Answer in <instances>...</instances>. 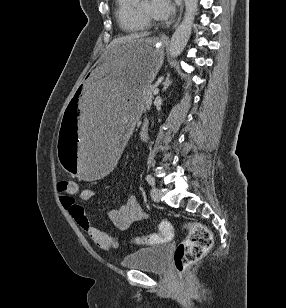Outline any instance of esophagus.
Returning <instances> with one entry per match:
<instances>
[{"instance_id":"34e87169","label":"esophagus","mask_w":286,"mask_h":308,"mask_svg":"<svg viewBox=\"0 0 286 308\" xmlns=\"http://www.w3.org/2000/svg\"><path fill=\"white\" fill-rule=\"evenodd\" d=\"M182 12H183V5H181V7H180L179 17H178L176 23L174 24L173 28H175L178 25V23H179V21L181 19ZM162 38L163 39H167V36H162Z\"/></svg>"}]
</instances>
